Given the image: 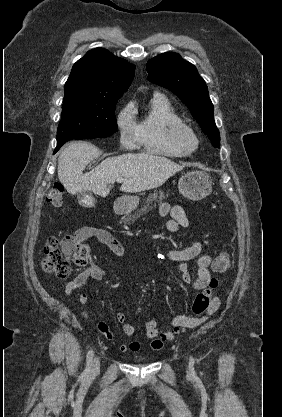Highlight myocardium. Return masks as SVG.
<instances>
[{"label":"myocardium","instance_id":"myocardium-1","mask_svg":"<svg viewBox=\"0 0 282 417\" xmlns=\"http://www.w3.org/2000/svg\"><path fill=\"white\" fill-rule=\"evenodd\" d=\"M169 138L174 146L182 153L190 154L192 148L188 145V140L196 141L194 132L180 121H170Z\"/></svg>","mask_w":282,"mask_h":417}]
</instances>
